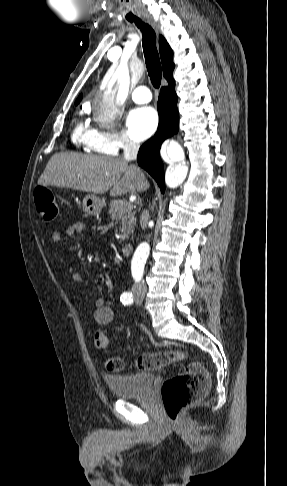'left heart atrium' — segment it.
<instances>
[{"instance_id": "1", "label": "left heart atrium", "mask_w": 287, "mask_h": 486, "mask_svg": "<svg viewBox=\"0 0 287 486\" xmlns=\"http://www.w3.org/2000/svg\"><path fill=\"white\" fill-rule=\"evenodd\" d=\"M158 124V115L152 107L133 109L127 118V127L132 138L142 141L153 134Z\"/></svg>"}]
</instances>
